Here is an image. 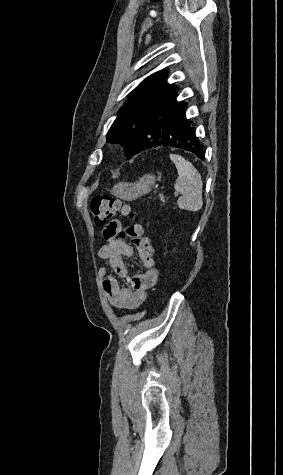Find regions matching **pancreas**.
I'll return each mask as SVG.
<instances>
[{"label": "pancreas", "instance_id": "pancreas-1", "mask_svg": "<svg viewBox=\"0 0 283 475\" xmlns=\"http://www.w3.org/2000/svg\"><path fill=\"white\" fill-rule=\"evenodd\" d=\"M161 202H165L163 194H160Z\"/></svg>", "mask_w": 283, "mask_h": 475}]
</instances>
